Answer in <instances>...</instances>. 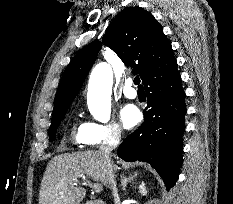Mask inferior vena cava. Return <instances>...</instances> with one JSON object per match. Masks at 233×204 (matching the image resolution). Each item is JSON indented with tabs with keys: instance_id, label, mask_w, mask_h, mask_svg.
<instances>
[{
	"instance_id": "obj_1",
	"label": "inferior vena cava",
	"mask_w": 233,
	"mask_h": 204,
	"mask_svg": "<svg viewBox=\"0 0 233 204\" xmlns=\"http://www.w3.org/2000/svg\"><path fill=\"white\" fill-rule=\"evenodd\" d=\"M121 139V133L119 131L115 132L112 137H110L107 141H105L101 146L99 151L104 155V157L107 159L109 164V169L107 172L109 183L111 184V187L114 192H116V183L114 180V174L112 171H115L114 166V160L111 156V152L113 149L117 147L119 144V141Z\"/></svg>"
}]
</instances>
